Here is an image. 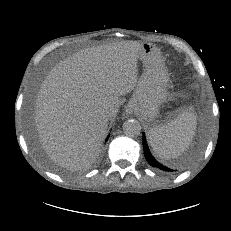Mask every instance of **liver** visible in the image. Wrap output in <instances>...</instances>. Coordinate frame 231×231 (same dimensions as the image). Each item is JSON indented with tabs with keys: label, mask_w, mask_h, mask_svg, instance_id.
<instances>
[{
	"label": "liver",
	"mask_w": 231,
	"mask_h": 231,
	"mask_svg": "<svg viewBox=\"0 0 231 231\" xmlns=\"http://www.w3.org/2000/svg\"><path fill=\"white\" fill-rule=\"evenodd\" d=\"M142 44L124 41L81 50L56 65L35 104V127L48 157L62 167L83 169L97 158L120 106L137 85ZM110 110L105 116L103 111Z\"/></svg>",
	"instance_id": "6515ba94"
}]
</instances>
